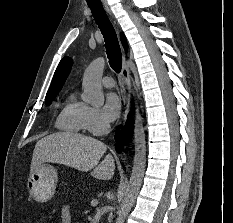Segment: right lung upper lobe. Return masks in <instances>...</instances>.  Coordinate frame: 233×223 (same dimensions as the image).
<instances>
[{
  "mask_svg": "<svg viewBox=\"0 0 233 223\" xmlns=\"http://www.w3.org/2000/svg\"><path fill=\"white\" fill-rule=\"evenodd\" d=\"M121 41L123 44L124 49L127 51V43L125 40V36L123 33H121ZM71 65H72V59L68 58V57H64L58 68L56 69L55 73H54V77L52 79V83L51 86L47 92L45 101L46 104H50L54 98L56 97V95L58 94V92L61 90L69 72L71 69Z\"/></svg>",
  "mask_w": 233,
  "mask_h": 223,
  "instance_id": "1",
  "label": "right lung upper lobe"
}]
</instances>
